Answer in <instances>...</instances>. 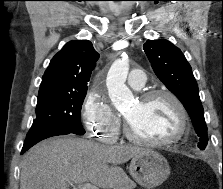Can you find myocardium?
Instances as JSON below:
<instances>
[{
	"instance_id": "f54148a6",
	"label": "myocardium",
	"mask_w": 223,
	"mask_h": 189,
	"mask_svg": "<svg viewBox=\"0 0 223 189\" xmlns=\"http://www.w3.org/2000/svg\"><path fill=\"white\" fill-rule=\"evenodd\" d=\"M158 97H167L171 100V102L176 107L178 114H179V121L180 126L177 131V133L170 137V138H161V139H151L146 138L143 136H140L136 134L127 118H124V131L125 135L133 142L139 143V144H146V145H152V146H163V145H172L174 143H177L181 139H183L189 129V114L188 111L183 104V102L180 100V98L175 95L173 92L169 90H163V89H155V90H149L144 93H142L138 97V101L141 103L148 102L152 99L158 98Z\"/></svg>"
}]
</instances>
